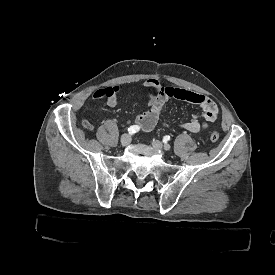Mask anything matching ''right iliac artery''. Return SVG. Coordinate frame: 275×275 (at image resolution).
<instances>
[{
  "instance_id": "82829eb1",
  "label": "right iliac artery",
  "mask_w": 275,
  "mask_h": 275,
  "mask_svg": "<svg viewBox=\"0 0 275 275\" xmlns=\"http://www.w3.org/2000/svg\"><path fill=\"white\" fill-rule=\"evenodd\" d=\"M140 130V127L138 125H132L128 128V132L130 134H134Z\"/></svg>"
}]
</instances>
